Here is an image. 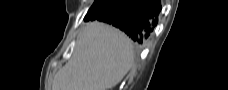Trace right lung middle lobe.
Masks as SVG:
<instances>
[{
	"mask_svg": "<svg viewBox=\"0 0 228 90\" xmlns=\"http://www.w3.org/2000/svg\"><path fill=\"white\" fill-rule=\"evenodd\" d=\"M101 2H102V0H95L94 3H95L97 6H99Z\"/></svg>",
	"mask_w": 228,
	"mask_h": 90,
	"instance_id": "1",
	"label": "right lung middle lobe"
}]
</instances>
